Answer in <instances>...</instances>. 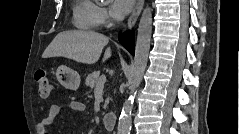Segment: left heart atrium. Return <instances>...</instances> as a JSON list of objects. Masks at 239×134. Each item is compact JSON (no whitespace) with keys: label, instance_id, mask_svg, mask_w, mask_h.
Returning a JSON list of instances; mask_svg holds the SVG:
<instances>
[{"label":"left heart atrium","instance_id":"left-heart-atrium-1","mask_svg":"<svg viewBox=\"0 0 239 134\" xmlns=\"http://www.w3.org/2000/svg\"><path fill=\"white\" fill-rule=\"evenodd\" d=\"M133 4V0H115L111 4V13L115 18H123L130 13Z\"/></svg>","mask_w":239,"mask_h":134}]
</instances>
